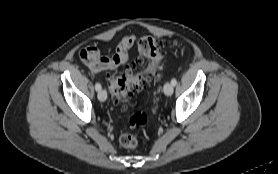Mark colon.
<instances>
[{"label": "colon", "mask_w": 278, "mask_h": 174, "mask_svg": "<svg viewBox=\"0 0 278 174\" xmlns=\"http://www.w3.org/2000/svg\"><path fill=\"white\" fill-rule=\"evenodd\" d=\"M163 43L154 37L144 36L139 40L140 56L136 59L134 67L108 76V87L116 102H127L135 94L157 80L162 61L161 46ZM148 115L143 110L136 111L129 118L131 131L120 137V143L125 148H134L138 144V131L145 128Z\"/></svg>", "instance_id": "1"}]
</instances>
